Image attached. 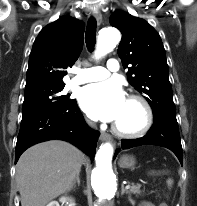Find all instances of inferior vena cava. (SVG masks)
<instances>
[{
    "label": "inferior vena cava",
    "instance_id": "1",
    "mask_svg": "<svg viewBox=\"0 0 197 206\" xmlns=\"http://www.w3.org/2000/svg\"><path fill=\"white\" fill-rule=\"evenodd\" d=\"M89 125H90L91 127H95L94 123H92V122H90Z\"/></svg>",
    "mask_w": 197,
    "mask_h": 206
}]
</instances>
